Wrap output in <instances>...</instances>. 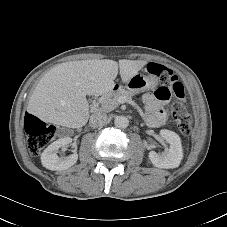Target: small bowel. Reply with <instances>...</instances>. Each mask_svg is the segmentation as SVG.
<instances>
[{"mask_svg": "<svg viewBox=\"0 0 227 227\" xmlns=\"http://www.w3.org/2000/svg\"><path fill=\"white\" fill-rule=\"evenodd\" d=\"M171 98V91L166 86H159L155 89L154 94H145L143 97L146 114L145 120L151 127H158L164 124L166 113L162 106Z\"/></svg>", "mask_w": 227, "mask_h": 227, "instance_id": "obj_1", "label": "small bowel"}]
</instances>
